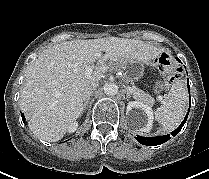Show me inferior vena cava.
Returning <instances> with one entry per match:
<instances>
[{"mask_svg": "<svg viewBox=\"0 0 209 179\" xmlns=\"http://www.w3.org/2000/svg\"><path fill=\"white\" fill-rule=\"evenodd\" d=\"M98 87V82L93 83L88 90H86V92L83 95V100L86 102L90 95L92 94V92Z\"/></svg>", "mask_w": 209, "mask_h": 179, "instance_id": "inferior-vena-cava-1", "label": "inferior vena cava"}]
</instances>
